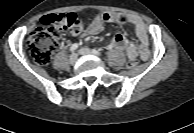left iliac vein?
Masks as SVG:
<instances>
[{"label":"left iliac vein","mask_w":194,"mask_h":133,"mask_svg":"<svg viewBox=\"0 0 194 133\" xmlns=\"http://www.w3.org/2000/svg\"><path fill=\"white\" fill-rule=\"evenodd\" d=\"M79 54L80 55H95L92 50H90L89 48H85V47L79 49Z\"/></svg>","instance_id":"4c4485c4"}]
</instances>
